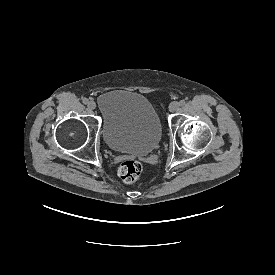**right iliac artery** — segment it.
<instances>
[{
    "label": "right iliac artery",
    "instance_id": "1",
    "mask_svg": "<svg viewBox=\"0 0 275 275\" xmlns=\"http://www.w3.org/2000/svg\"><path fill=\"white\" fill-rule=\"evenodd\" d=\"M83 103L84 104H88L89 103V99L88 98H83Z\"/></svg>",
    "mask_w": 275,
    "mask_h": 275
}]
</instances>
